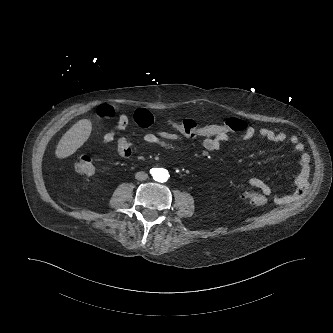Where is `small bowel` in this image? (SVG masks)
I'll return each instance as SVG.
<instances>
[{
    "instance_id": "obj_1",
    "label": "small bowel",
    "mask_w": 333,
    "mask_h": 333,
    "mask_svg": "<svg viewBox=\"0 0 333 333\" xmlns=\"http://www.w3.org/2000/svg\"><path fill=\"white\" fill-rule=\"evenodd\" d=\"M133 119L138 125L144 128H149L154 123V116L152 112L143 109H137L133 114ZM127 125V116L120 115L114 129L109 132H103L100 134V143L103 145L111 144L115 139L117 132L124 130ZM255 135L276 142H284L288 140L295 151L299 154L300 173L297 180L294 182L293 190L287 194L277 196L275 199L278 204H287L296 201L303 194L310 168V156L304 151V144L297 136L293 135L288 137L286 133L279 127H261L257 130L252 126H247L246 131L243 133H231L229 135L205 137L202 141V147L209 152H215L219 150L222 144L225 142H230L233 140L246 142L251 140ZM191 137L196 136H187L178 130L175 132L158 130L155 132L145 133L142 139L148 144H153L171 151H179L182 148L181 142ZM117 152L122 157L131 156L133 148L127 137L122 136L118 139ZM248 184L252 188L260 191L264 196H270L273 193L272 187L258 177H251L248 180Z\"/></svg>"
}]
</instances>
